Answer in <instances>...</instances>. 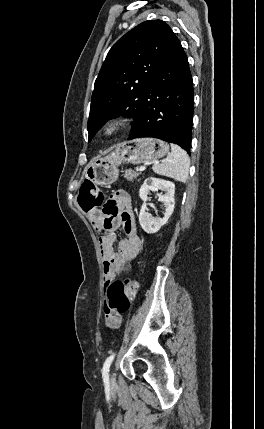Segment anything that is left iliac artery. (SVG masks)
<instances>
[{"instance_id":"44dca946","label":"left iliac artery","mask_w":264,"mask_h":429,"mask_svg":"<svg viewBox=\"0 0 264 429\" xmlns=\"http://www.w3.org/2000/svg\"><path fill=\"white\" fill-rule=\"evenodd\" d=\"M115 354L113 353L112 355H110L104 365H103V369H102V377H103V381L108 384L109 383V370H110V366L114 360Z\"/></svg>"}]
</instances>
